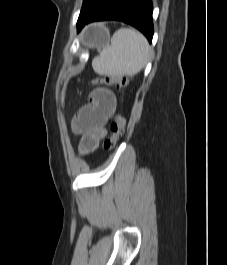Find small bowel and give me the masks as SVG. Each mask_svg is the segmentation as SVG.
Wrapping results in <instances>:
<instances>
[{"label":"small bowel","mask_w":227,"mask_h":265,"mask_svg":"<svg viewBox=\"0 0 227 265\" xmlns=\"http://www.w3.org/2000/svg\"><path fill=\"white\" fill-rule=\"evenodd\" d=\"M115 106V97L110 90L98 88L91 92L89 103L79 110L73 121L75 132L87 133L82 141L84 150L95 148L98 141L105 137V125Z\"/></svg>","instance_id":"obj_1"}]
</instances>
